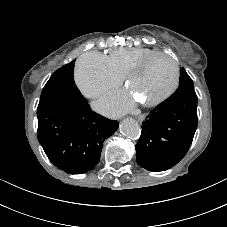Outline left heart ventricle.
I'll use <instances>...</instances> for the list:
<instances>
[{
    "label": "left heart ventricle",
    "instance_id": "b2bd125f",
    "mask_svg": "<svg viewBox=\"0 0 227 227\" xmlns=\"http://www.w3.org/2000/svg\"><path fill=\"white\" fill-rule=\"evenodd\" d=\"M172 81V63L165 57H157L134 76L130 88L134 96L145 101L165 92Z\"/></svg>",
    "mask_w": 227,
    "mask_h": 227
}]
</instances>
